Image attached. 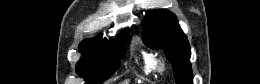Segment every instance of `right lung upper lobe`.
Wrapping results in <instances>:
<instances>
[{"label":"right lung upper lobe","mask_w":260,"mask_h":84,"mask_svg":"<svg viewBox=\"0 0 260 84\" xmlns=\"http://www.w3.org/2000/svg\"><path fill=\"white\" fill-rule=\"evenodd\" d=\"M125 34H127V32H126ZM123 36H126V35H122L121 37H123ZM99 41H101V40H99ZM95 42H98V41H97V40H87V41L82 42V43L80 44V46H82V45H87V44H91V43H95Z\"/></svg>","instance_id":"obj_1"}]
</instances>
